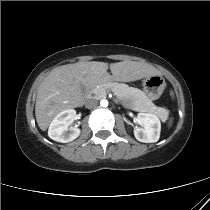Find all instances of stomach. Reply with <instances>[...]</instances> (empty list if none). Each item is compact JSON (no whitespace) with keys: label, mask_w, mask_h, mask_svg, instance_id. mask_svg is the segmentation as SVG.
Segmentation results:
<instances>
[{"label":"stomach","mask_w":210,"mask_h":210,"mask_svg":"<svg viewBox=\"0 0 210 210\" xmlns=\"http://www.w3.org/2000/svg\"><path fill=\"white\" fill-rule=\"evenodd\" d=\"M142 85L145 95L150 100H155L162 95L166 87V82L161 75H152L144 78Z\"/></svg>","instance_id":"stomach-1"}]
</instances>
